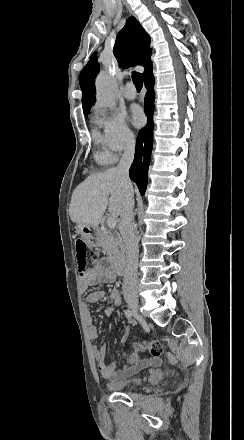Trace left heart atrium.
Segmentation results:
<instances>
[{"instance_id": "left-heart-atrium-1", "label": "left heart atrium", "mask_w": 244, "mask_h": 440, "mask_svg": "<svg viewBox=\"0 0 244 440\" xmlns=\"http://www.w3.org/2000/svg\"><path fill=\"white\" fill-rule=\"evenodd\" d=\"M132 117L135 125L140 126L145 121V116L142 109L139 106L132 108Z\"/></svg>"}]
</instances>
